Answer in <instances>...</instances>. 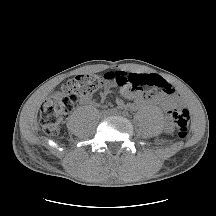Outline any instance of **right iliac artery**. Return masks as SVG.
Segmentation results:
<instances>
[{"instance_id":"82829eb1","label":"right iliac artery","mask_w":216,"mask_h":216,"mask_svg":"<svg viewBox=\"0 0 216 216\" xmlns=\"http://www.w3.org/2000/svg\"><path fill=\"white\" fill-rule=\"evenodd\" d=\"M110 112H111V113H116V112H117V109L113 108V109L110 110Z\"/></svg>"}]
</instances>
